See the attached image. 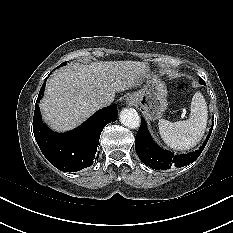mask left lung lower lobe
<instances>
[{
	"instance_id": "left-lung-lower-lobe-1",
	"label": "left lung lower lobe",
	"mask_w": 233,
	"mask_h": 233,
	"mask_svg": "<svg viewBox=\"0 0 233 233\" xmlns=\"http://www.w3.org/2000/svg\"><path fill=\"white\" fill-rule=\"evenodd\" d=\"M212 129L209 130V134L199 150L185 155H175L162 149L153 141L147 130L145 120L141 118V126L135 137V149L140 160L150 168L166 170L173 166L183 167L194 162L200 156L210 138Z\"/></svg>"
}]
</instances>
